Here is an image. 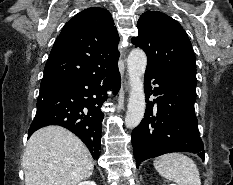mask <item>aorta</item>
<instances>
[{"label": "aorta", "mask_w": 233, "mask_h": 185, "mask_svg": "<svg viewBox=\"0 0 233 185\" xmlns=\"http://www.w3.org/2000/svg\"><path fill=\"white\" fill-rule=\"evenodd\" d=\"M130 81V95L125 117V126L129 129L137 127L145 113V93L143 77L147 65V57L143 50L133 49L127 60Z\"/></svg>", "instance_id": "762f6f07"}]
</instances>
